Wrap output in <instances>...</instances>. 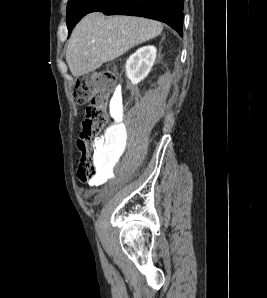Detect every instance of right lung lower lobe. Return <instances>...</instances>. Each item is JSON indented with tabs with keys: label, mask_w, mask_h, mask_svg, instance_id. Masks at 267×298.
I'll use <instances>...</instances> for the list:
<instances>
[{
	"label": "right lung lower lobe",
	"mask_w": 267,
	"mask_h": 298,
	"mask_svg": "<svg viewBox=\"0 0 267 298\" xmlns=\"http://www.w3.org/2000/svg\"><path fill=\"white\" fill-rule=\"evenodd\" d=\"M183 0H99L90 12L131 15L159 20L183 35Z\"/></svg>",
	"instance_id": "98d812e1"
}]
</instances>
